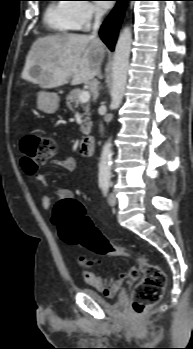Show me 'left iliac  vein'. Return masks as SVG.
Segmentation results:
<instances>
[{
    "instance_id": "left-iliac-vein-1",
    "label": "left iliac vein",
    "mask_w": 193,
    "mask_h": 349,
    "mask_svg": "<svg viewBox=\"0 0 193 349\" xmlns=\"http://www.w3.org/2000/svg\"><path fill=\"white\" fill-rule=\"evenodd\" d=\"M108 203L111 205V206H114L116 204V196L114 193H110L109 196H108Z\"/></svg>"
}]
</instances>
